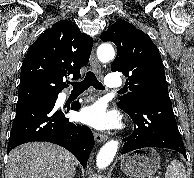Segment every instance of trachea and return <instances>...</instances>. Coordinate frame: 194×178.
Here are the masks:
<instances>
[{
	"instance_id": "1",
	"label": "trachea",
	"mask_w": 194,
	"mask_h": 178,
	"mask_svg": "<svg viewBox=\"0 0 194 178\" xmlns=\"http://www.w3.org/2000/svg\"><path fill=\"white\" fill-rule=\"evenodd\" d=\"M73 86V91L83 92L88 89L90 86H93L95 89L104 90L105 87L101 82L98 81L95 74L92 71H88L84 80L76 83H71Z\"/></svg>"
}]
</instances>
